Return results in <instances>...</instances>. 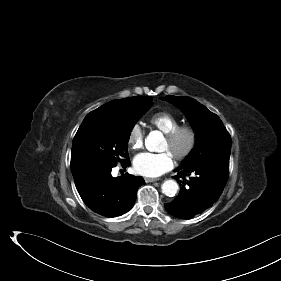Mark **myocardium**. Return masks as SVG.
<instances>
[{"label": "myocardium", "instance_id": "obj_1", "mask_svg": "<svg viewBox=\"0 0 281 281\" xmlns=\"http://www.w3.org/2000/svg\"><path fill=\"white\" fill-rule=\"evenodd\" d=\"M184 137L187 139L186 145L182 149H175L172 152L178 160H184L193 153L197 145V133L190 125H179L166 134V140L171 147H175Z\"/></svg>", "mask_w": 281, "mask_h": 281}]
</instances>
